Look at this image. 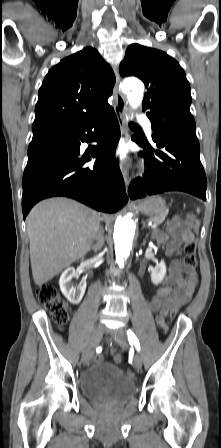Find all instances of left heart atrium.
I'll return each instance as SVG.
<instances>
[{
	"label": "left heart atrium",
	"instance_id": "39dd6f15",
	"mask_svg": "<svg viewBox=\"0 0 221 448\" xmlns=\"http://www.w3.org/2000/svg\"><path fill=\"white\" fill-rule=\"evenodd\" d=\"M117 154L122 160L126 159V150L124 149V147H119L117 149Z\"/></svg>",
	"mask_w": 221,
	"mask_h": 448
}]
</instances>
